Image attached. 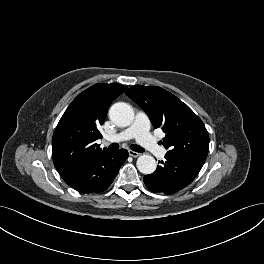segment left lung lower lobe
<instances>
[{"label":"left lung lower lobe","mask_w":264,"mask_h":264,"mask_svg":"<svg viewBox=\"0 0 264 264\" xmlns=\"http://www.w3.org/2000/svg\"><path fill=\"white\" fill-rule=\"evenodd\" d=\"M156 171L144 176V183L152 192L173 194L189 185L201 170V164L180 155H165Z\"/></svg>","instance_id":"1"}]
</instances>
